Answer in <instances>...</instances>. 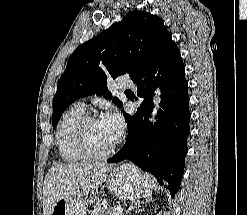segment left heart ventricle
Listing matches in <instances>:
<instances>
[{
    "instance_id": "b2bd125f",
    "label": "left heart ventricle",
    "mask_w": 247,
    "mask_h": 215,
    "mask_svg": "<svg viewBox=\"0 0 247 215\" xmlns=\"http://www.w3.org/2000/svg\"><path fill=\"white\" fill-rule=\"evenodd\" d=\"M87 137L90 146L96 151H104L116 141L101 119L88 125Z\"/></svg>"
}]
</instances>
